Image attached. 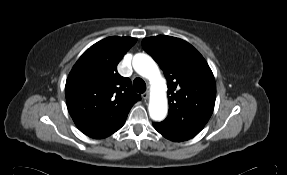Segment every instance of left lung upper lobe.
Masks as SVG:
<instances>
[{"instance_id":"5c2ea615","label":"left lung upper lobe","mask_w":287,"mask_h":175,"mask_svg":"<svg viewBox=\"0 0 287 175\" xmlns=\"http://www.w3.org/2000/svg\"><path fill=\"white\" fill-rule=\"evenodd\" d=\"M143 49L167 79L169 115L161 122L187 137L196 136L212 115L216 84L203 56L188 42L165 35L145 38Z\"/></svg>"}]
</instances>
